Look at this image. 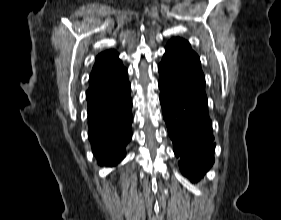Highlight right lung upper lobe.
Instances as JSON below:
<instances>
[{"label":"right lung upper lobe","instance_id":"obj_1","mask_svg":"<svg viewBox=\"0 0 281 220\" xmlns=\"http://www.w3.org/2000/svg\"><path fill=\"white\" fill-rule=\"evenodd\" d=\"M126 79V69L119 60L118 53L115 50H107L96 57L89 78L88 91L112 88Z\"/></svg>","mask_w":281,"mask_h":220}]
</instances>
